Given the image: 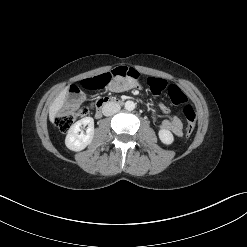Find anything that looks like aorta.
I'll use <instances>...</instances> for the list:
<instances>
[{
	"instance_id": "obj_1",
	"label": "aorta",
	"mask_w": 247,
	"mask_h": 247,
	"mask_svg": "<svg viewBox=\"0 0 247 247\" xmlns=\"http://www.w3.org/2000/svg\"><path fill=\"white\" fill-rule=\"evenodd\" d=\"M125 109L128 111H132L135 109V103L133 101H126L125 102Z\"/></svg>"
}]
</instances>
